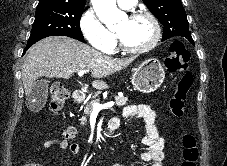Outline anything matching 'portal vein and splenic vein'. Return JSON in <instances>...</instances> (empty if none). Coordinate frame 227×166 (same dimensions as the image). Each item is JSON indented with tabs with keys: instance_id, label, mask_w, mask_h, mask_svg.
<instances>
[{
	"instance_id": "obj_1",
	"label": "portal vein and splenic vein",
	"mask_w": 227,
	"mask_h": 166,
	"mask_svg": "<svg viewBox=\"0 0 227 166\" xmlns=\"http://www.w3.org/2000/svg\"><path fill=\"white\" fill-rule=\"evenodd\" d=\"M88 71H85V70H80L78 71V75L80 77H82L85 73H87ZM114 105V102H109V103H106V104H99V103H94L93 104V110L95 111H100L102 109H108V108H111L112 106Z\"/></svg>"
}]
</instances>
